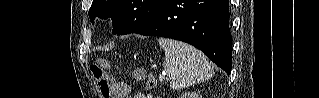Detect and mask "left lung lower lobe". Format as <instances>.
<instances>
[{
	"label": "left lung lower lobe",
	"mask_w": 319,
	"mask_h": 98,
	"mask_svg": "<svg viewBox=\"0 0 319 98\" xmlns=\"http://www.w3.org/2000/svg\"><path fill=\"white\" fill-rule=\"evenodd\" d=\"M228 0H162L153 15L134 33L189 43L221 67L232 68Z\"/></svg>",
	"instance_id": "left-lung-lower-lobe-1"
}]
</instances>
